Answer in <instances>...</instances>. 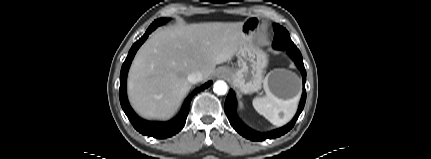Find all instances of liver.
<instances>
[{
	"label": "liver",
	"instance_id": "6515ba94",
	"mask_svg": "<svg viewBox=\"0 0 431 159\" xmlns=\"http://www.w3.org/2000/svg\"><path fill=\"white\" fill-rule=\"evenodd\" d=\"M243 22L179 24L155 31L138 50L128 75V97L147 119H167L191 89L188 76L208 79L230 61L245 36Z\"/></svg>",
	"mask_w": 431,
	"mask_h": 159
}]
</instances>
